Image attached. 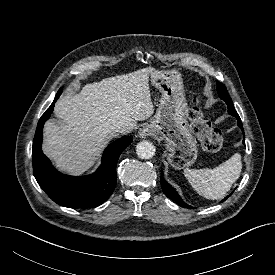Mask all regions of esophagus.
Segmentation results:
<instances>
[{"mask_svg": "<svg viewBox=\"0 0 275 275\" xmlns=\"http://www.w3.org/2000/svg\"><path fill=\"white\" fill-rule=\"evenodd\" d=\"M150 134H151V130L148 126H144L139 131V136L142 138H145V137L149 136Z\"/></svg>", "mask_w": 275, "mask_h": 275, "instance_id": "obj_1", "label": "esophagus"}]
</instances>
